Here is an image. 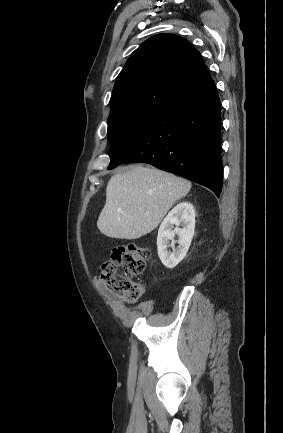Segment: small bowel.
Returning <instances> with one entry per match:
<instances>
[{
    "label": "small bowel",
    "mask_w": 283,
    "mask_h": 433,
    "mask_svg": "<svg viewBox=\"0 0 283 433\" xmlns=\"http://www.w3.org/2000/svg\"><path fill=\"white\" fill-rule=\"evenodd\" d=\"M95 284L97 288L106 295V297L115 304L116 311L119 317L126 324L133 323L137 318V312L130 310L129 306L135 303V299L119 296L114 292L110 291L106 283L100 278H95Z\"/></svg>",
    "instance_id": "small-bowel-1"
}]
</instances>
